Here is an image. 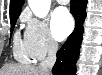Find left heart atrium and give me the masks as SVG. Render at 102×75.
<instances>
[{"label": "left heart atrium", "mask_w": 102, "mask_h": 75, "mask_svg": "<svg viewBox=\"0 0 102 75\" xmlns=\"http://www.w3.org/2000/svg\"><path fill=\"white\" fill-rule=\"evenodd\" d=\"M74 21L65 7L57 8L51 17V31L57 41H63L72 31Z\"/></svg>", "instance_id": "1"}]
</instances>
